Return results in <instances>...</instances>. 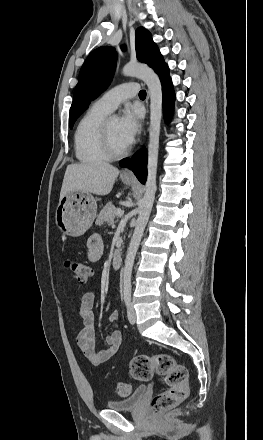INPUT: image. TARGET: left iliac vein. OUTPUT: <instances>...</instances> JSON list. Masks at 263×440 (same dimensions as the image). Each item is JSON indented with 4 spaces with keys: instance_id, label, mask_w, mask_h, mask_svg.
Listing matches in <instances>:
<instances>
[{
    "instance_id": "obj_1",
    "label": "left iliac vein",
    "mask_w": 263,
    "mask_h": 440,
    "mask_svg": "<svg viewBox=\"0 0 263 440\" xmlns=\"http://www.w3.org/2000/svg\"><path fill=\"white\" fill-rule=\"evenodd\" d=\"M127 316H128L129 323L131 325H134L136 322V312H135V309L133 308L132 304L128 305Z\"/></svg>"
}]
</instances>
